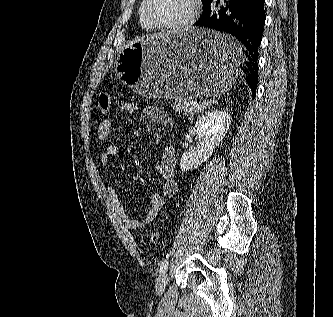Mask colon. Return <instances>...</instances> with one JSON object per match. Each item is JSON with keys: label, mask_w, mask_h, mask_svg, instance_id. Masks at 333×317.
<instances>
[{"label": "colon", "mask_w": 333, "mask_h": 317, "mask_svg": "<svg viewBox=\"0 0 333 317\" xmlns=\"http://www.w3.org/2000/svg\"><path fill=\"white\" fill-rule=\"evenodd\" d=\"M112 97L108 93H103L99 96L97 102V111L99 115H106L109 113L111 109ZM160 236L157 232H151L149 236V240L153 244H157L159 242Z\"/></svg>", "instance_id": "5ec220e1"}]
</instances>
